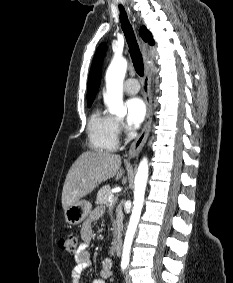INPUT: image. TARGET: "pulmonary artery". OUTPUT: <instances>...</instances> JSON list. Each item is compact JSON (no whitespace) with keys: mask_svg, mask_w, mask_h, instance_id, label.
Returning a JSON list of instances; mask_svg holds the SVG:
<instances>
[{"mask_svg":"<svg viewBox=\"0 0 233 283\" xmlns=\"http://www.w3.org/2000/svg\"><path fill=\"white\" fill-rule=\"evenodd\" d=\"M140 90V85L137 79L130 78L124 83V91L128 94H136Z\"/></svg>","mask_w":233,"mask_h":283,"instance_id":"obj_1","label":"pulmonary artery"}]
</instances>
